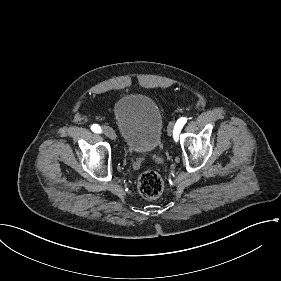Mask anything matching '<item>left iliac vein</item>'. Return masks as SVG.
Wrapping results in <instances>:
<instances>
[{
	"label": "left iliac vein",
	"mask_w": 281,
	"mask_h": 281,
	"mask_svg": "<svg viewBox=\"0 0 281 281\" xmlns=\"http://www.w3.org/2000/svg\"><path fill=\"white\" fill-rule=\"evenodd\" d=\"M174 122H171L170 124H169V126H168V135H172L173 134V131H174Z\"/></svg>",
	"instance_id": "left-iliac-vein-1"
}]
</instances>
